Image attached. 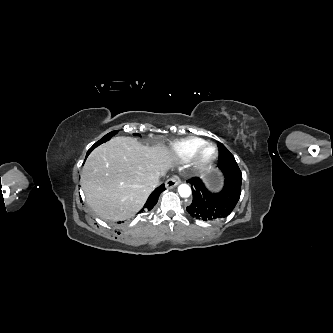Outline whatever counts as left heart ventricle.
I'll use <instances>...</instances> for the list:
<instances>
[{
  "label": "left heart ventricle",
  "instance_id": "left-heart-ventricle-1",
  "mask_svg": "<svg viewBox=\"0 0 333 333\" xmlns=\"http://www.w3.org/2000/svg\"><path fill=\"white\" fill-rule=\"evenodd\" d=\"M212 154H213V149H211V148L207 149L205 152V156H207V157L211 156Z\"/></svg>",
  "mask_w": 333,
  "mask_h": 333
}]
</instances>
